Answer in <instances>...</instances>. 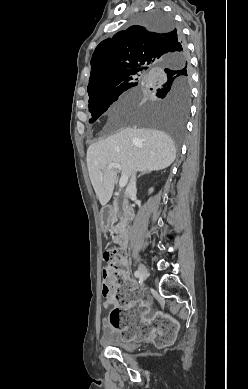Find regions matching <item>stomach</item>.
Masks as SVG:
<instances>
[{"mask_svg":"<svg viewBox=\"0 0 248 389\" xmlns=\"http://www.w3.org/2000/svg\"><path fill=\"white\" fill-rule=\"evenodd\" d=\"M110 212V209L108 207H102L101 208V225L103 226L102 227V230L104 232H107L109 230V227L108 225L110 224V219H111V214L109 213Z\"/></svg>","mask_w":248,"mask_h":389,"instance_id":"obj_1","label":"stomach"}]
</instances>
